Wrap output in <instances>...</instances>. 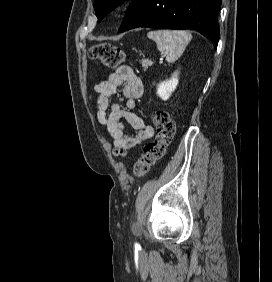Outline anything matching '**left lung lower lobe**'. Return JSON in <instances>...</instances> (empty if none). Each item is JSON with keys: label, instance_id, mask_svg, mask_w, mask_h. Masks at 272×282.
Here are the masks:
<instances>
[{"label": "left lung lower lobe", "instance_id": "1", "mask_svg": "<svg viewBox=\"0 0 272 282\" xmlns=\"http://www.w3.org/2000/svg\"><path fill=\"white\" fill-rule=\"evenodd\" d=\"M222 0H133L118 30L138 27L195 29L214 47L219 39L217 16Z\"/></svg>", "mask_w": 272, "mask_h": 282}]
</instances>
